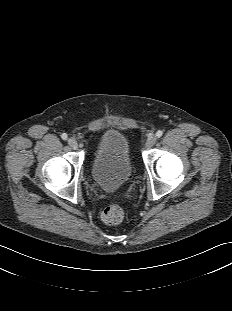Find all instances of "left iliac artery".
Instances as JSON below:
<instances>
[{"instance_id": "left-iliac-artery-1", "label": "left iliac artery", "mask_w": 232, "mask_h": 311, "mask_svg": "<svg viewBox=\"0 0 232 311\" xmlns=\"http://www.w3.org/2000/svg\"><path fill=\"white\" fill-rule=\"evenodd\" d=\"M162 135H163V131L158 130L157 133H156V137L160 138Z\"/></svg>"}]
</instances>
